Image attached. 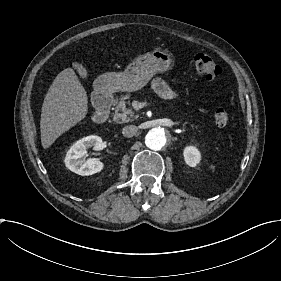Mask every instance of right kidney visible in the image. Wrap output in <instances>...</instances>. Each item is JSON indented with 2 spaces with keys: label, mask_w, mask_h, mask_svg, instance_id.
Masks as SVG:
<instances>
[{
  "label": "right kidney",
  "mask_w": 281,
  "mask_h": 281,
  "mask_svg": "<svg viewBox=\"0 0 281 281\" xmlns=\"http://www.w3.org/2000/svg\"><path fill=\"white\" fill-rule=\"evenodd\" d=\"M89 148L96 151L103 149L102 139L99 136L90 135L74 143L66 154V167L80 175H89L100 171L102 163L98 158H88L86 160L82 158L87 154V149Z\"/></svg>",
  "instance_id": "1"
}]
</instances>
